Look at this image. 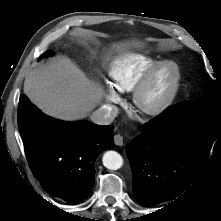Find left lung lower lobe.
<instances>
[{
	"label": "left lung lower lobe",
	"instance_id": "obj_1",
	"mask_svg": "<svg viewBox=\"0 0 221 221\" xmlns=\"http://www.w3.org/2000/svg\"><path fill=\"white\" fill-rule=\"evenodd\" d=\"M176 105L144 124L126 146L133 194L142 204L161 203L178 193L204 168L216 138L221 139V125L178 121Z\"/></svg>",
	"mask_w": 221,
	"mask_h": 221
}]
</instances>
